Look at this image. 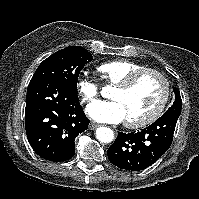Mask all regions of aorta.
<instances>
[{"label": "aorta", "instance_id": "762f6f07", "mask_svg": "<svg viewBox=\"0 0 199 199\" xmlns=\"http://www.w3.org/2000/svg\"><path fill=\"white\" fill-rule=\"evenodd\" d=\"M96 138L100 142L110 143L114 139V133L108 127H99L96 130Z\"/></svg>", "mask_w": 199, "mask_h": 199}]
</instances>
